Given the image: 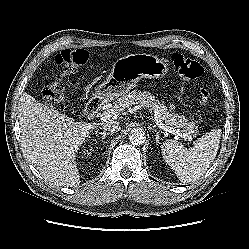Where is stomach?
<instances>
[{
	"label": "stomach",
	"mask_w": 249,
	"mask_h": 249,
	"mask_svg": "<svg viewBox=\"0 0 249 249\" xmlns=\"http://www.w3.org/2000/svg\"><path fill=\"white\" fill-rule=\"evenodd\" d=\"M168 73V64L151 54H131L119 58L111 73L97 88L95 96L111 100L133 89L142 78H163Z\"/></svg>",
	"instance_id": "0dacf381"
}]
</instances>
